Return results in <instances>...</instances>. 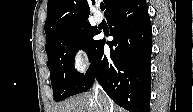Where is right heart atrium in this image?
Masks as SVG:
<instances>
[{
	"instance_id": "right-heart-atrium-1",
	"label": "right heart atrium",
	"mask_w": 193,
	"mask_h": 112,
	"mask_svg": "<svg viewBox=\"0 0 193 112\" xmlns=\"http://www.w3.org/2000/svg\"><path fill=\"white\" fill-rule=\"evenodd\" d=\"M71 62L77 73H84L90 64V55L84 42L75 43L71 51Z\"/></svg>"
}]
</instances>
